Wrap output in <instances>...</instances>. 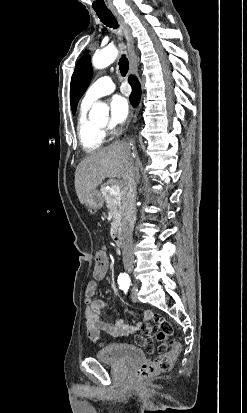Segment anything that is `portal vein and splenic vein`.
I'll list each match as a JSON object with an SVG mask.
<instances>
[{"label":"portal vein and splenic vein","instance_id":"portal-vein-and-splenic-vein-1","mask_svg":"<svg viewBox=\"0 0 247 413\" xmlns=\"http://www.w3.org/2000/svg\"><path fill=\"white\" fill-rule=\"evenodd\" d=\"M108 190H110V194H120V186L118 184H112Z\"/></svg>","mask_w":247,"mask_h":413}]
</instances>
